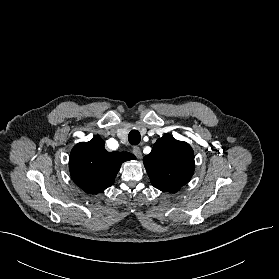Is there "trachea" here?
<instances>
[{
	"instance_id": "1",
	"label": "trachea",
	"mask_w": 279,
	"mask_h": 279,
	"mask_svg": "<svg viewBox=\"0 0 279 279\" xmlns=\"http://www.w3.org/2000/svg\"><path fill=\"white\" fill-rule=\"evenodd\" d=\"M141 136L137 130H132L129 133L128 141L131 145H138L140 143Z\"/></svg>"
}]
</instances>
